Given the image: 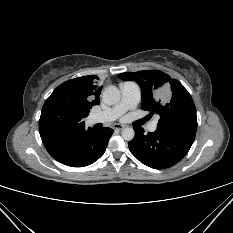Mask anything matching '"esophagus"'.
I'll list each match as a JSON object with an SVG mask.
<instances>
[{
    "instance_id": "esophagus-1",
    "label": "esophagus",
    "mask_w": 233,
    "mask_h": 233,
    "mask_svg": "<svg viewBox=\"0 0 233 233\" xmlns=\"http://www.w3.org/2000/svg\"><path fill=\"white\" fill-rule=\"evenodd\" d=\"M126 126L125 125H122V124H114L113 125V129L114 130H118V131H121L125 128Z\"/></svg>"
}]
</instances>
